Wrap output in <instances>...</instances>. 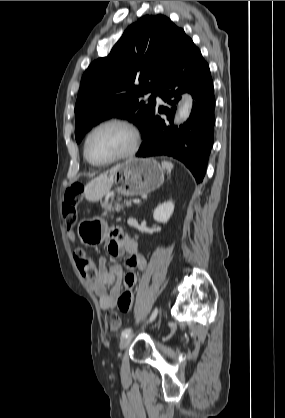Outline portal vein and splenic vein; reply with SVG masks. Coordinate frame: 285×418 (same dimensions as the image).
Here are the masks:
<instances>
[{"label":"portal vein and splenic vein","instance_id":"18ae733b","mask_svg":"<svg viewBox=\"0 0 285 418\" xmlns=\"http://www.w3.org/2000/svg\"><path fill=\"white\" fill-rule=\"evenodd\" d=\"M133 202H134V203H139V202H140V200L135 199V200H133Z\"/></svg>","mask_w":285,"mask_h":418}]
</instances>
